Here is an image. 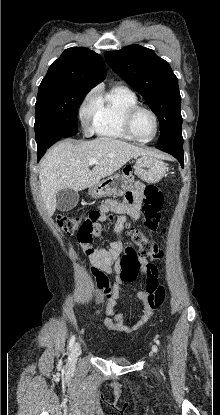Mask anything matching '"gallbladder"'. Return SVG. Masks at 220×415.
<instances>
[{"label": "gallbladder", "instance_id": "bac80fb5", "mask_svg": "<svg viewBox=\"0 0 220 415\" xmlns=\"http://www.w3.org/2000/svg\"><path fill=\"white\" fill-rule=\"evenodd\" d=\"M79 201V194L72 189H62L56 194L57 209L60 211L72 210Z\"/></svg>", "mask_w": 220, "mask_h": 415}]
</instances>
